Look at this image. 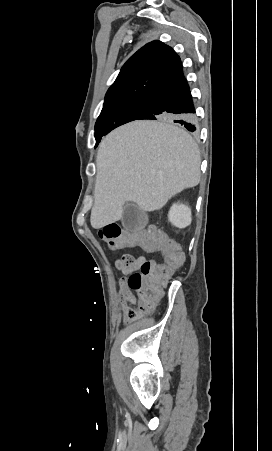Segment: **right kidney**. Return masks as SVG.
<instances>
[{
  "label": "right kidney",
  "instance_id": "ca27d5eb",
  "mask_svg": "<svg viewBox=\"0 0 272 451\" xmlns=\"http://www.w3.org/2000/svg\"><path fill=\"white\" fill-rule=\"evenodd\" d=\"M168 220L172 226L186 227L192 222L191 210L185 204H173L169 210Z\"/></svg>",
  "mask_w": 272,
  "mask_h": 451
}]
</instances>
